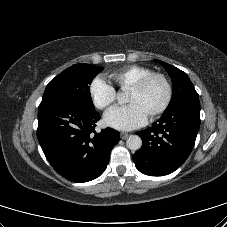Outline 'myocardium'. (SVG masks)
Here are the masks:
<instances>
[{"label": "myocardium", "mask_w": 227, "mask_h": 227, "mask_svg": "<svg viewBox=\"0 0 227 227\" xmlns=\"http://www.w3.org/2000/svg\"><path fill=\"white\" fill-rule=\"evenodd\" d=\"M153 79H160L163 82V84L165 86L166 95H165V99H164L162 105L158 109L154 110L153 112H151L149 114V117L152 119L162 115L171 104V101L173 98V87H172V83H171L170 79L168 78V76L161 72H152V73L144 76L143 78H141L139 81H137L135 84H133L130 88V90L142 91L147 87V85Z\"/></svg>", "instance_id": "1"}]
</instances>
